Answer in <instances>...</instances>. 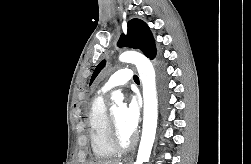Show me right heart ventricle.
<instances>
[{"instance_id":"obj_1","label":"right heart ventricle","mask_w":251,"mask_h":164,"mask_svg":"<svg viewBox=\"0 0 251 164\" xmlns=\"http://www.w3.org/2000/svg\"><path fill=\"white\" fill-rule=\"evenodd\" d=\"M89 138L96 158L106 159L117 154L110 136L109 113L103 94L96 96L89 108L87 118Z\"/></svg>"}]
</instances>
